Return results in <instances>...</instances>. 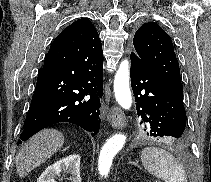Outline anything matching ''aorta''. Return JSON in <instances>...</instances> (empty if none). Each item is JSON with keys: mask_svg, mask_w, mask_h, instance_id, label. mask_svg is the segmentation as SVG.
Returning <instances> with one entry per match:
<instances>
[{"mask_svg": "<svg viewBox=\"0 0 211 182\" xmlns=\"http://www.w3.org/2000/svg\"><path fill=\"white\" fill-rule=\"evenodd\" d=\"M129 69V61H122L114 79V93L116 101L125 110L130 109L132 105V97L129 87ZM125 142L126 136L124 134H115L106 141L102 147L98 160V170L100 175H108L113 158L123 148Z\"/></svg>", "mask_w": 211, "mask_h": 182, "instance_id": "1", "label": "aorta"}]
</instances>
